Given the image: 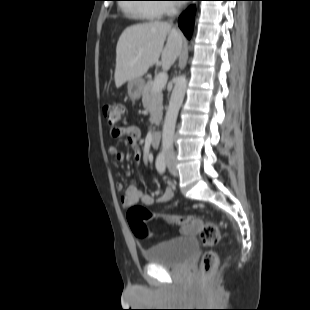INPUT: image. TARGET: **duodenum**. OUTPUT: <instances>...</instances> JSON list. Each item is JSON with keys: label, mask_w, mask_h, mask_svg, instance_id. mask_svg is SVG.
Returning a JSON list of instances; mask_svg holds the SVG:
<instances>
[{"label": "duodenum", "mask_w": 310, "mask_h": 310, "mask_svg": "<svg viewBox=\"0 0 310 310\" xmlns=\"http://www.w3.org/2000/svg\"><path fill=\"white\" fill-rule=\"evenodd\" d=\"M162 133L159 130H155L150 134V141L153 148H159L161 142Z\"/></svg>", "instance_id": "duodenum-1"}]
</instances>
